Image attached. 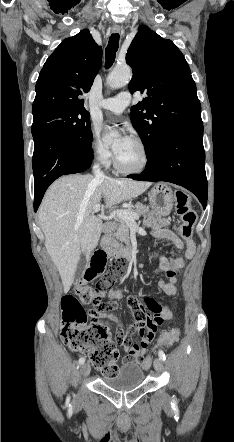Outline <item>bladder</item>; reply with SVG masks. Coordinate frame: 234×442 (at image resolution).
<instances>
[{
	"instance_id": "1",
	"label": "bladder",
	"mask_w": 234,
	"mask_h": 442,
	"mask_svg": "<svg viewBox=\"0 0 234 442\" xmlns=\"http://www.w3.org/2000/svg\"><path fill=\"white\" fill-rule=\"evenodd\" d=\"M144 370L137 364H127L120 368L118 373L111 377H104L106 386L115 390L136 388L144 381Z\"/></svg>"
}]
</instances>
